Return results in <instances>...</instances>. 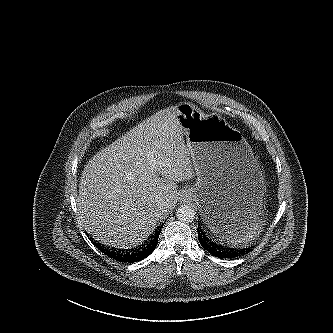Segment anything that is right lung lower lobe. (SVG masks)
Returning a JSON list of instances; mask_svg holds the SVG:
<instances>
[{
  "mask_svg": "<svg viewBox=\"0 0 333 333\" xmlns=\"http://www.w3.org/2000/svg\"><path fill=\"white\" fill-rule=\"evenodd\" d=\"M160 232L158 231L157 233L154 234L150 242L145 246L141 251H138L137 253H132V254H123L124 252L115 251L111 249H106L100 245H96L98 249H100L104 254H106L108 257L115 259L116 261L119 262H137L148 255H150L153 250L155 249L157 242H158V237H159Z\"/></svg>",
  "mask_w": 333,
  "mask_h": 333,
  "instance_id": "98d812e1",
  "label": "right lung lower lobe"
}]
</instances>
